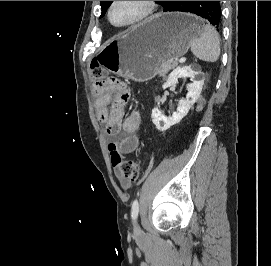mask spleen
Here are the masks:
<instances>
[{"label":"spleen","mask_w":271,"mask_h":266,"mask_svg":"<svg viewBox=\"0 0 271 266\" xmlns=\"http://www.w3.org/2000/svg\"><path fill=\"white\" fill-rule=\"evenodd\" d=\"M191 51L202 61L216 62L220 55V39L216 30L204 25L200 34L192 40Z\"/></svg>","instance_id":"obj_1"}]
</instances>
